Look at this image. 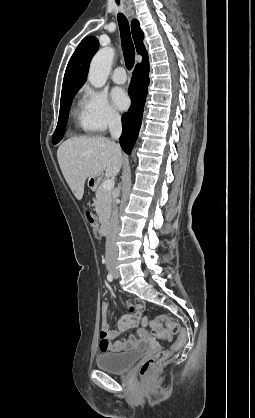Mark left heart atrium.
Here are the masks:
<instances>
[{"instance_id": "obj_1", "label": "left heart atrium", "mask_w": 255, "mask_h": 418, "mask_svg": "<svg viewBox=\"0 0 255 418\" xmlns=\"http://www.w3.org/2000/svg\"><path fill=\"white\" fill-rule=\"evenodd\" d=\"M112 100L114 105L120 109L124 110L129 106L130 100L127 93L121 88H115L112 91Z\"/></svg>"}]
</instances>
